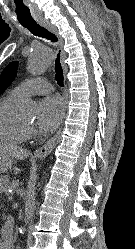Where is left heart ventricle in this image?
<instances>
[{
	"mask_svg": "<svg viewBox=\"0 0 135 249\" xmlns=\"http://www.w3.org/2000/svg\"><path fill=\"white\" fill-rule=\"evenodd\" d=\"M22 122L25 124V125H28V126H32L33 122L28 120V119H23Z\"/></svg>",
	"mask_w": 135,
	"mask_h": 249,
	"instance_id": "1",
	"label": "left heart ventricle"
}]
</instances>
